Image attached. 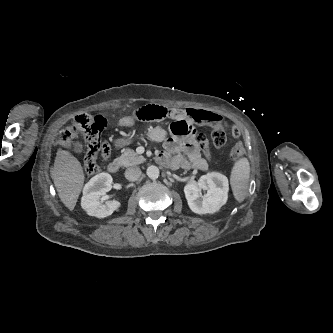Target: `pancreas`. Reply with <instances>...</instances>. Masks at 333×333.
Masks as SVG:
<instances>
[{"instance_id": "1", "label": "pancreas", "mask_w": 333, "mask_h": 333, "mask_svg": "<svg viewBox=\"0 0 333 333\" xmlns=\"http://www.w3.org/2000/svg\"><path fill=\"white\" fill-rule=\"evenodd\" d=\"M119 163L124 167L135 166L145 161L143 156L138 155L134 150L127 148L122 155L117 158Z\"/></svg>"}]
</instances>
